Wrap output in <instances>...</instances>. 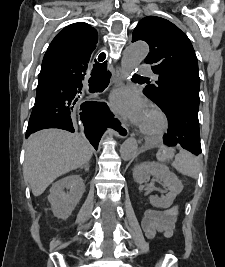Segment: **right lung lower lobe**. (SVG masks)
Here are the masks:
<instances>
[{
  "label": "right lung lower lobe",
  "mask_w": 225,
  "mask_h": 267,
  "mask_svg": "<svg viewBox=\"0 0 225 267\" xmlns=\"http://www.w3.org/2000/svg\"><path fill=\"white\" fill-rule=\"evenodd\" d=\"M90 74L89 91L99 92L108 85L105 66H97L86 52L47 50L38 76L35 105L29 119L26 138L46 129L59 128L74 132L71 114L75 109L82 82ZM91 120L85 123V134L97 149L105 127L113 122L108 107L102 103L91 106Z\"/></svg>",
  "instance_id": "right-lung-lower-lobe-1"
}]
</instances>
